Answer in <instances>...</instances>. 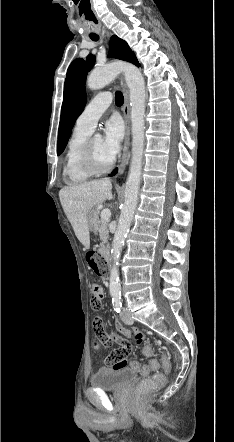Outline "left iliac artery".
<instances>
[{"instance_id": "1", "label": "left iliac artery", "mask_w": 234, "mask_h": 442, "mask_svg": "<svg viewBox=\"0 0 234 442\" xmlns=\"http://www.w3.org/2000/svg\"><path fill=\"white\" fill-rule=\"evenodd\" d=\"M112 302L114 304L115 311L119 313L121 311V307H122L120 293L119 294L117 293V294L113 295Z\"/></svg>"}]
</instances>
